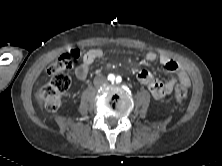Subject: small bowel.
<instances>
[{"mask_svg": "<svg viewBox=\"0 0 222 166\" xmlns=\"http://www.w3.org/2000/svg\"><path fill=\"white\" fill-rule=\"evenodd\" d=\"M104 56V51L95 48L88 50L84 55L82 62L75 68V76L77 79L84 81L87 79L89 74V69L91 65L97 60ZM145 58L149 62L159 61L167 71L175 73L176 78H171L166 82H161L158 80L151 72L147 70H141L137 74L138 80L146 85L152 96L155 99H162L169 95L174 89L177 82L184 85L185 87L190 86V78L187 72L173 59L166 55H159L154 51H149L146 53Z\"/></svg>", "mask_w": 222, "mask_h": 166, "instance_id": "small-bowel-1", "label": "small bowel"}]
</instances>
